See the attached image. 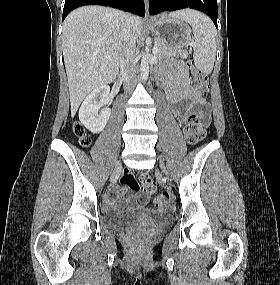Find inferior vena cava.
<instances>
[{
  "mask_svg": "<svg viewBox=\"0 0 280 285\" xmlns=\"http://www.w3.org/2000/svg\"><path fill=\"white\" fill-rule=\"evenodd\" d=\"M123 47L120 53L119 64L122 74L125 77V89L132 86L131 79L135 78L137 73V64L135 61L136 53V34L134 28V16L124 15L123 22Z\"/></svg>",
  "mask_w": 280,
  "mask_h": 285,
  "instance_id": "602c4592",
  "label": "inferior vena cava"
}]
</instances>
